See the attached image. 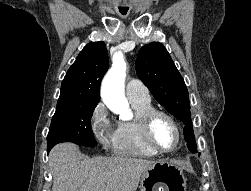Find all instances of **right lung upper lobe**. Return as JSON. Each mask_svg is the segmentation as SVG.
I'll return each mask as SVG.
<instances>
[{
    "mask_svg": "<svg viewBox=\"0 0 251 191\" xmlns=\"http://www.w3.org/2000/svg\"><path fill=\"white\" fill-rule=\"evenodd\" d=\"M108 67L105 43H88L62 81L57 107L98 104L100 83Z\"/></svg>",
    "mask_w": 251,
    "mask_h": 191,
    "instance_id": "right-lung-upper-lobe-1",
    "label": "right lung upper lobe"
}]
</instances>
